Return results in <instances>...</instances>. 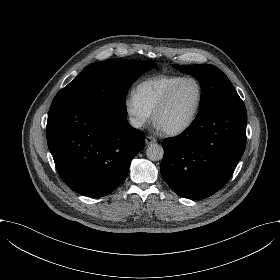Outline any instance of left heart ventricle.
Returning a JSON list of instances; mask_svg holds the SVG:
<instances>
[{
    "label": "left heart ventricle",
    "mask_w": 280,
    "mask_h": 280,
    "mask_svg": "<svg viewBox=\"0 0 280 280\" xmlns=\"http://www.w3.org/2000/svg\"><path fill=\"white\" fill-rule=\"evenodd\" d=\"M199 100V87L196 82L186 81L175 93L169 107L158 117L165 129L188 121L194 114Z\"/></svg>",
    "instance_id": "left-heart-ventricle-1"
}]
</instances>
